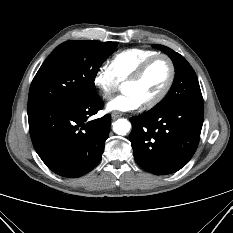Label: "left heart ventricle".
I'll return each mask as SVG.
<instances>
[{"label": "left heart ventricle", "instance_id": "1", "mask_svg": "<svg viewBox=\"0 0 233 233\" xmlns=\"http://www.w3.org/2000/svg\"><path fill=\"white\" fill-rule=\"evenodd\" d=\"M170 74L169 64L163 59L155 60L136 83L123 85L124 92H132L146 103L157 97L166 85Z\"/></svg>", "mask_w": 233, "mask_h": 233}]
</instances>
